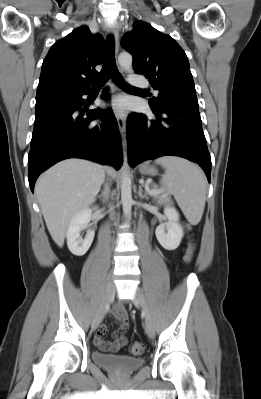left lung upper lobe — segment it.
<instances>
[{"label":"left lung upper lobe","instance_id":"left-lung-upper-lobe-1","mask_svg":"<svg viewBox=\"0 0 261 399\" xmlns=\"http://www.w3.org/2000/svg\"><path fill=\"white\" fill-rule=\"evenodd\" d=\"M122 44L133 55L134 71L145 75L159 91L158 97L150 101L152 108L180 102L198 105L188 58L172 37L147 23L137 22Z\"/></svg>","mask_w":261,"mask_h":399}]
</instances>
